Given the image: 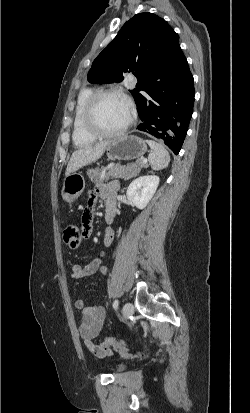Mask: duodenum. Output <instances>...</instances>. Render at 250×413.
Instances as JSON below:
<instances>
[{
  "instance_id": "duodenum-1",
  "label": "duodenum",
  "mask_w": 250,
  "mask_h": 413,
  "mask_svg": "<svg viewBox=\"0 0 250 413\" xmlns=\"http://www.w3.org/2000/svg\"><path fill=\"white\" fill-rule=\"evenodd\" d=\"M105 218L107 223H112L115 218V210L113 208H107Z\"/></svg>"
}]
</instances>
